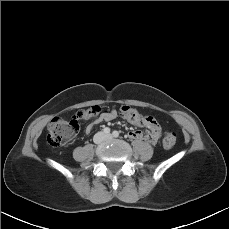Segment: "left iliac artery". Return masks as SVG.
Instances as JSON below:
<instances>
[{
    "label": "left iliac artery",
    "mask_w": 229,
    "mask_h": 229,
    "mask_svg": "<svg viewBox=\"0 0 229 229\" xmlns=\"http://www.w3.org/2000/svg\"><path fill=\"white\" fill-rule=\"evenodd\" d=\"M112 135H113L114 137H118V136H119V132L115 130V131H113Z\"/></svg>",
    "instance_id": "44dca946"
}]
</instances>
